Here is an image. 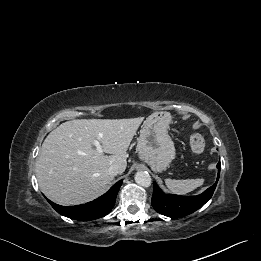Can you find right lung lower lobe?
<instances>
[{
	"label": "right lung lower lobe",
	"mask_w": 261,
	"mask_h": 261,
	"mask_svg": "<svg viewBox=\"0 0 261 261\" xmlns=\"http://www.w3.org/2000/svg\"><path fill=\"white\" fill-rule=\"evenodd\" d=\"M122 184V180L113 185L110 190L101 197L82 205L77 206H61L48 202L61 215L71 219L88 221L107 215L115 205V200Z\"/></svg>",
	"instance_id": "1"
}]
</instances>
